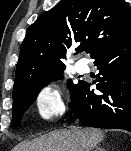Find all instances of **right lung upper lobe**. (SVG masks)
I'll return each instance as SVG.
<instances>
[{
    "mask_svg": "<svg viewBox=\"0 0 131 151\" xmlns=\"http://www.w3.org/2000/svg\"><path fill=\"white\" fill-rule=\"evenodd\" d=\"M131 32V11L124 0H62L26 31L15 73L14 89L39 75L65 67L72 46L90 56ZM13 89V90H14Z\"/></svg>",
    "mask_w": 131,
    "mask_h": 151,
    "instance_id": "obj_1",
    "label": "right lung upper lobe"
}]
</instances>
